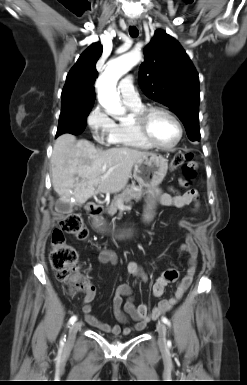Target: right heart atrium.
I'll use <instances>...</instances> for the list:
<instances>
[{"label":"right heart atrium","instance_id":"d8ad5b80","mask_svg":"<svg viewBox=\"0 0 247 385\" xmlns=\"http://www.w3.org/2000/svg\"><path fill=\"white\" fill-rule=\"evenodd\" d=\"M87 124L93 138L98 142H110V136L114 129L115 122L100 106H95L87 117Z\"/></svg>","mask_w":247,"mask_h":385}]
</instances>
